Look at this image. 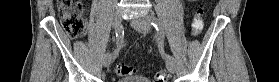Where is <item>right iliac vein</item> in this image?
Returning <instances> with one entry per match:
<instances>
[{"label":"right iliac vein","instance_id":"obj_1","mask_svg":"<svg viewBox=\"0 0 279 82\" xmlns=\"http://www.w3.org/2000/svg\"><path fill=\"white\" fill-rule=\"evenodd\" d=\"M121 21H122L121 12L117 11L113 17V26H114L115 30L117 29V27H119L121 25ZM111 61H112V55L109 53H106L103 58V65L105 67H108L111 64Z\"/></svg>","mask_w":279,"mask_h":82}]
</instances>
